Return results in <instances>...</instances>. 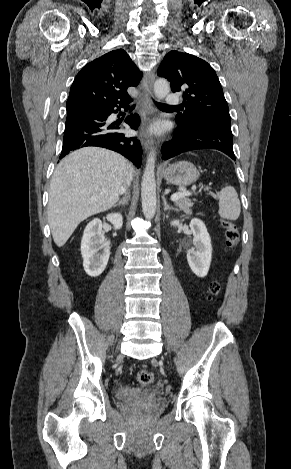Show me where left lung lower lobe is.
I'll list each match as a JSON object with an SVG mask.
<instances>
[{
    "label": "left lung lower lobe",
    "instance_id": "1",
    "mask_svg": "<svg viewBox=\"0 0 291 469\" xmlns=\"http://www.w3.org/2000/svg\"><path fill=\"white\" fill-rule=\"evenodd\" d=\"M204 148L217 149L235 160L231 126L205 121L178 126L173 139L162 146L161 152L166 160L186 151Z\"/></svg>",
    "mask_w": 291,
    "mask_h": 469
}]
</instances>
